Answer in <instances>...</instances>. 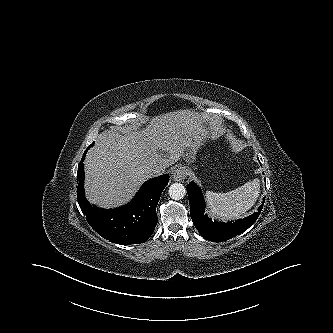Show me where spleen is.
<instances>
[{
    "label": "spleen",
    "mask_w": 333,
    "mask_h": 333,
    "mask_svg": "<svg viewBox=\"0 0 333 333\" xmlns=\"http://www.w3.org/2000/svg\"><path fill=\"white\" fill-rule=\"evenodd\" d=\"M260 193V180L254 179L244 185L226 192L206 191L205 196L211 212L224 219L243 216L257 201Z\"/></svg>",
    "instance_id": "obj_1"
}]
</instances>
